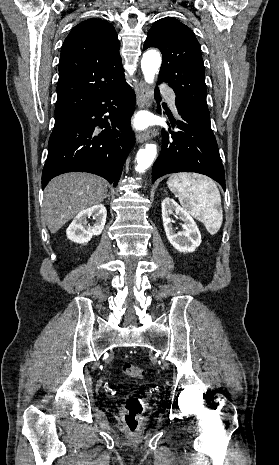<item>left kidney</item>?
I'll list each match as a JSON object with an SVG mask.
<instances>
[{
    "label": "left kidney",
    "mask_w": 279,
    "mask_h": 465,
    "mask_svg": "<svg viewBox=\"0 0 279 465\" xmlns=\"http://www.w3.org/2000/svg\"><path fill=\"white\" fill-rule=\"evenodd\" d=\"M163 226L170 244L179 252H193L201 243L200 231L191 215L174 199L164 198L161 204ZM175 212L184 222L182 230L176 232L170 215Z\"/></svg>",
    "instance_id": "1"
}]
</instances>
